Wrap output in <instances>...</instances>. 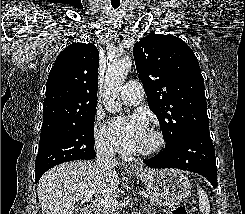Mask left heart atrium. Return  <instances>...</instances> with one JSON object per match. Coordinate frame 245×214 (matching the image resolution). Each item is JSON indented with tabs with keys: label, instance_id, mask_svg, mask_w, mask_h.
Returning <instances> with one entry per match:
<instances>
[{
	"label": "left heart atrium",
	"instance_id": "left-heart-atrium-1",
	"mask_svg": "<svg viewBox=\"0 0 245 214\" xmlns=\"http://www.w3.org/2000/svg\"><path fill=\"white\" fill-rule=\"evenodd\" d=\"M111 135L117 146L124 152H134L148 133L145 119L139 115L113 119Z\"/></svg>",
	"mask_w": 245,
	"mask_h": 214
}]
</instances>
